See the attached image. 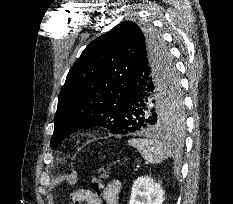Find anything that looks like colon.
I'll return each instance as SVG.
<instances>
[{
  "instance_id": "obj_1",
  "label": "colon",
  "mask_w": 233,
  "mask_h": 204,
  "mask_svg": "<svg viewBox=\"0 0 233 204\" xmlns=\"http://www.w3.org/2000/svg\"><path fill=\"white\" fill-rule=\"evenodd\" d=\"M110 177V168L108 165H101L92 175L91 181L89 183L88 193L92 197H99L103 191V185L106 180ZM71 200L74 204H80L82 200V195L77 191L71 194Z\"/></svg>"
}]
</instances>
